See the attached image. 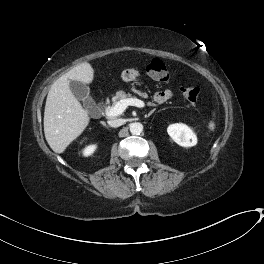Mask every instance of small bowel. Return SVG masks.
<instances>
[{
  "mask_svg": "<svg viewBox=\"0 0 264 264\" xmlns=\"http://www.w3.org/2000/svg\"><path fill=\"white\" fill-rule=\"evenodd\" d=\"M171 95L172 93L170 90H164V91L157 92L154 94L153 102L149 104L153 105V104L164 103L171 97Z\"/></svg>",
  "mask_w": 264,
  "mask_h": 264,
  "instance_id": "c3829d8e",
  "label": "small bowel"
}]
</instances>
